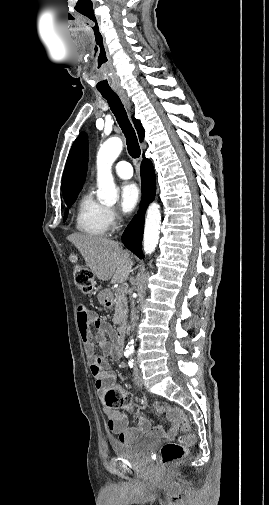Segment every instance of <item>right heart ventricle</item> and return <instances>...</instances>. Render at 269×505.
<instances>
[{
	"mask_svg": "<svg viewBox=\"0 0 269 505\" xmlns=\"http://www.w3.org/2000/svg\"><path fill=\"white\" fill-rule=\"evenodd\" d=\"M106 209L93 197L91 191H86L81 196L76 209L77 229L92 236L106 235L110 227Z\"/></svg>",
	"mask_w": 269,
	"mask_h": 505,
	"instance_id": "obj_1",
	"label": "right heart ventricle"
}]
</instances>
